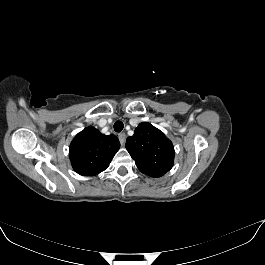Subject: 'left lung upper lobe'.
Masks as SVG:
<instances>
[{
    "label": "left lung upper lobe",
    "mask_w": 265,
    "mask_h": 265,
    "mask_svg": "<svg viewBox=\"0 0 265 265\" xmlns=\"http://www.w3.org/2000/svg\"><path fill=\"white\" fill-rule=\"evenodd\" d=\"M125 147L143 174L161 177L173 166L172 142L148 122L138 125L134 135L127 138Z\"/></svg>",
    "instance_id": "1"
}]
</instances>
